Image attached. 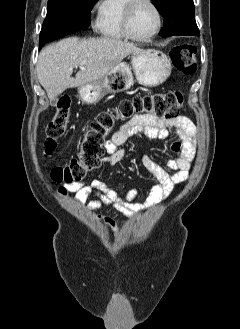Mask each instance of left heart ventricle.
I'll list each match as a JSON object with an SVG mask.
<instances>
[{"label":"left heart ventricle","mask_w":240,"mask_h":329,"mask_svg":"<svg viewBox=\"0 0 240 329\" xmlns=\"http://www.w3.org/2000/svg\"><path fill=\"white\" fill-rule=\"evenodd\" d=\"M157 25V17L153 8L147 3L135 6L130 26L135 35L147 36L151 34Z\"/></svg>","instance_id":"1"}]
</instances>
